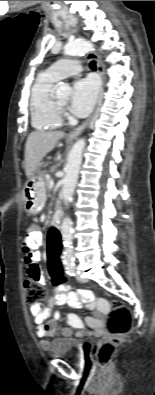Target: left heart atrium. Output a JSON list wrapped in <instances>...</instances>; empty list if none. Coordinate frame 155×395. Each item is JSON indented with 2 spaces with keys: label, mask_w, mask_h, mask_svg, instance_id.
<instances>
[{
  "label": "left heart atrium",
  "mask_w": 155,
  "mask_h": 395,
  "mask_svg": "<svg viewBox=\"0 0 155 395\" xmlns=\"http://www.w3.org/2000/svg\"><path fill=\"white\" fill-rule=\"evenodd\" d=\"M98 89V82L94 77L78 79L73 85L70 111L78 117L88 115L95 104Z\"/></svg>",
  "instance_id": "39dd6f15"
}]
</instances>
